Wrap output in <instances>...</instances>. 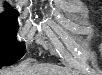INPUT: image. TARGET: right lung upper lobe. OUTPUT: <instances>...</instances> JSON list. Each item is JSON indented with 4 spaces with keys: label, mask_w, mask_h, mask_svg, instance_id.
Instances as JSON below:
<instances>
[{
    "label": "right lung upper lobe",
    "mask_w": 102,
    "mask_h": 75,
    "mask_svg": "<svg viewBox=\"0 0 102 75\" xmlns=\"http://www.w3.org/2000/svg\"><path fill=\"white\" fill-rule=\"evenodd\" d=\"M6 15H14L17 16L18 13L16 12V10L12 9V8H8L7 11L4 13Z\"/></svg>",
    "instance_id": "obj_1"
}]
</instances>
